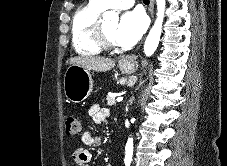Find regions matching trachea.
<instances>
[{
    "label": "trachea",
    "mask_w": 227,
    "mask_h": 166,
    "mask_svg": "<svg viewBox=\"0 0 227 166\" xmlns=\"http://www.w3.org/2000/svg\"><path fill=\"white\" fill-rule=\"evenodd\" d=\"M145 4H149V0H143Z\"/></svg>",
    "instance_id": "trachea-1"
}]
</instances>
